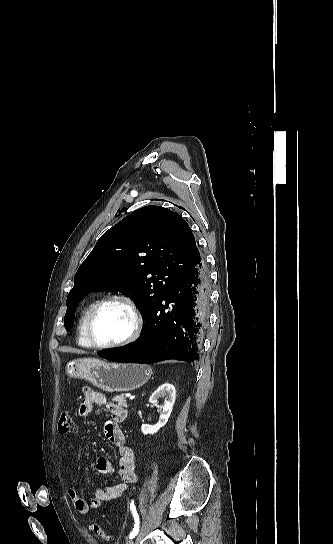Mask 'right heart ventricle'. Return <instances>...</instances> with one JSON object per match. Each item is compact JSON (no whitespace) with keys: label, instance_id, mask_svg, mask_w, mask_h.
<instances>
[{"label":"right heart ventricle","instance_id":"obj_1","mask_svg":"<svg viewBox=\"0 0 333 544\" xmlns=\"http://www.w3.org/2000/svg\"><path fill=\"white\" fill-rule=\"evenodd\" d=\"M98 301L97 300H93L91 302H89L82 310L80 316H79V319H78V323H77V343L79 346L81 347H84V348H91L92 345L90 344V342L88 341L87 337H86V331H85V326H86V321H87V317L90 313V311L92 310V308L95 306V304L97 303Z\"/></svg>","mask_w":333,"mask_h":544}]
</instances>
